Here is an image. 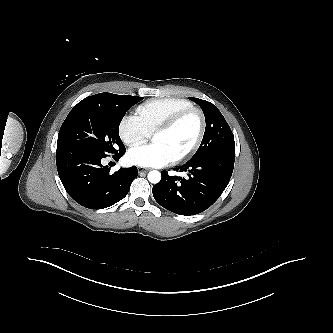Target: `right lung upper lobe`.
<instances>
[{
  "instance_id": "1",
  "label": "right lung upper lobe",
  "mask_w": 333,
  "mask_h": 333,
  "mask_svg": "<svg viewBox=\"0 0 333 333\" xmlns=\"http://www.w3.org/2000/svg\"><path fill=\"white\" fill-rule=\"evenodd\" d=\"M101 94H104V93H100V94H96V95H101Z\"/></svg>"
}]
</instances>
